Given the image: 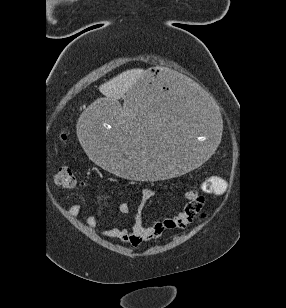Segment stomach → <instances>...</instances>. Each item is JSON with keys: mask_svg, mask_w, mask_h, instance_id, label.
<instances>
[{"mask_svg": "<svg viewBox=\"0 0 286 308\" xmlns=\"http://www.w3.org/2000/svg\"><path fill=\"white\" fill-rule=\"evenodd\" d=\"M125 101L122 109L116 97H92V109L80 110L79 142L104 171L127 182H167L213 159L222 113L169 69L145 71Z\"/></svg>", "mask_w": 286, "mask_h": 308, "instance_id": "1", "label": "stomach"}]
</instances>
